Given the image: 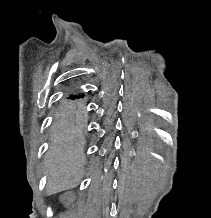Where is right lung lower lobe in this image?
<instances>
[{
  "label": "right lung lower lobe",
  "mask_w": 211,
  "mask_h": 218,
  "mask_svg": "<svg viewBox=\"0 0 211 218\" xmlns=\"http://www.w3.org/2000/svg\"><path fill=\"white\" fill-rule=\"evenodd\" d=\"M67 98H84V94L76 92V91H72L68 94Z\"/></svg>",
  "instance_id": "obj_1"
}]
</instances>
